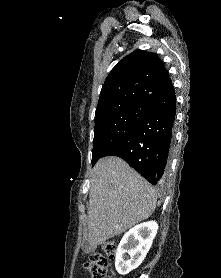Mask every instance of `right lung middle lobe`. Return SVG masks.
<instances>
[{
	"instance_id": "dd1d6c3e",
	"label": "right lung middle lobe",
	"mask_w": 221,
	"mask_h": 278,
	"mask_svg": "<svg viewBox=\"0 0 221 278\" xmlns=\"http://www.w3.org/2000/svg\"><path fill=\"white\" fill-rule=\"evenodd\" d=\"M149 112L146 102L135 101L95 116L92 165L111 145L130 133Z\"/></svg>"
}]
</instances>
